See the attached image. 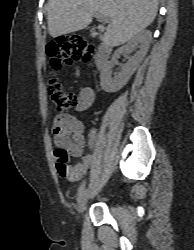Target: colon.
I'll use <instances>...</instances> for the list:
<instances>
[{"label":"colon","mask_w":194,"mask_h":250,"mask_svg":"<svg viewBox=\"0 0 194 250\" xmlns=\"http://www.w3.org/2000/svg\"><path fill=\"white\" fill-rule=\"evenodd\" d=\"M46 51L50 69L55 74L60 72L65 65L75 62L91 63L95 47L86 43L81 36L74 34L48 44ZM49 94L56 111L60 113H65L78 106L77 96L54 80L49 83ZM54 155L57 165L59 164L66 170L69 165L67 152L64 149H56Z\"/></svg>","instance_id":"5ec220e1"}]
</instances>
